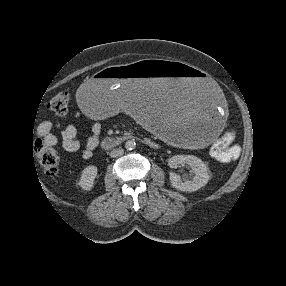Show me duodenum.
Wrapping results in <instances>:
<instances>
[{
	"label": "duodenum",
	"mask_w": 286,
	"mask_h": 286,
	"mask_svg": "<svg viewBox=\"0 0 286 286\" xmlns=\"http://www.w3.org/2000/svg\"><path fill=\"white\" fill-rule=\"evenodd\" d=\"M129 136H113V137H107L104 138L101 142V146L103 148H113V147H118L122 145L124 142L129 140Z\"/></svg>",
	"instance_id": "1"
}]
</instances>
